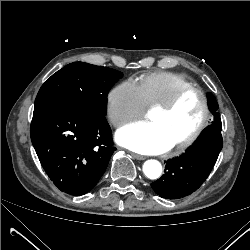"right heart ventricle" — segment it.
<instances>
[{
	"mask_svg": "<svg viewBox=\"0 0 250 250\" xmlns=\"http://www.w3.org/2000/svg\"><path fill=\"white\" fill-rule=\"evenodd\" d=\"M192 85L184 76L172 72L145 74L136 83L143 103L148 107L163 104L178 90Z\"/></svg>",
	"mask_w": 250,
	"mask_h": 250,
	"instance_id": "obj_1",
	"label": "right heart ventricle"
}]
</instances>
